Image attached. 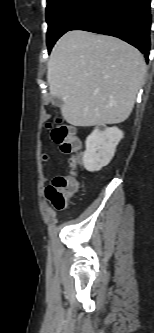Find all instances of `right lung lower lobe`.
Listing matches in <instances>:
<instances>
[{
    "label": "right lung lower lobe",
    "instance_id": "right-lung-lower-lobe-1",
    "mask_svg": "<svg viewBox=\"0 0 154 333\" xmlns=\"http://www.w3.org/2000/svg\"><path fill=\"white\" fill-rule=\"evenodd\" d=\"M151 0H99L71 30L118 37L138 48L148 62Z\"/></svg>",
    "mask_w": 154,
    "mask_h": 333
}]
</instances>
